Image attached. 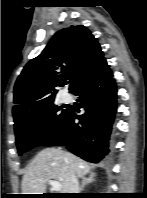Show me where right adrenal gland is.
I'll return each mask as SVG.
<instances>
[{
  "instance_id": "1",
  "label": "right adrenal gland",
  "mask_w": 147,
  "mask_h": 198,
  "mask_svg": "<svg viewBox=\"0 0 147 198\" xmlns=\"http://www.w3.org/2000/svg\"><path fill=\"white\" fill-rule=\"evenodd\" d=\"M95 177H96V175L92 172H90L88 174V176H84L82 178V182H81V185H80V188H79L80 192L84 189L85 185H87L89 183H92L94 181Z\"/></svg>"
}]
</instances>
